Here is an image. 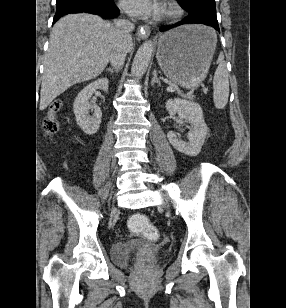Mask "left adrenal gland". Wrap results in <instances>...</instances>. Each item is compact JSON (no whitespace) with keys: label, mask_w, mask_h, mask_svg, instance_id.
I'll return each mask as SVG.
<instances>
[{"label":"left adrenal gland","mask_w":286,"mask_h":308,"mask_svg":"<svg viewBox=\"0 0 286 308\" xmlns=\"http://www.w3.org/2000/svg\"><path fill=\"white\" fill-rule=\"evenodd\" d=\"M155 83L158 85V87L161 86V82L157 78V71L156 70L153 71V77H152V80H151V85L153 86Z\"/></svg>","instance_id":"obj_1"}]
</instances>
